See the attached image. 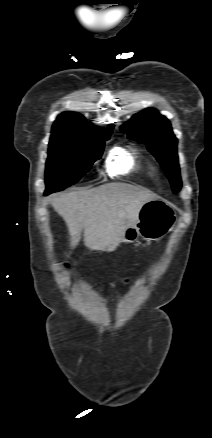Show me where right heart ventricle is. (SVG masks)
<instances>
[{
    "instance_id": "1",
    "label": "right heart ventricle",
    "mask_w": 212,
    "mask_h": 438,
    "mask_svg": "<svg viewBox=\"0 0 212 438\" xmlns=\"http://www.w3.org/2000/svg\"><path fill=\"white\" fill-rule=\"evenodd\" d=\"M138 167V155L132 149L115 147L106 159L107 172L112 176L129 174L137 170Z\"/></svg>"
}]
</instances>
